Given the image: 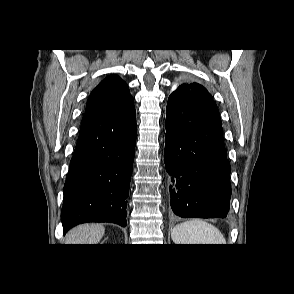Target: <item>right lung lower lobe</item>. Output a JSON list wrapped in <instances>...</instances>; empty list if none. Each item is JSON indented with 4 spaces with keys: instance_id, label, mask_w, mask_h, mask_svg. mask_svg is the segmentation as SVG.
<instances>
[{
    "instance_id": "obj_1",
    "label": "right lung lower lobe",
    "mask_w": 294,
    "mask_h": 294,
    "mask_svg": "<svg viewBox=\"0 0 294 294\" xmlns=\"http://www.w3.org/2000/svg\"><path fill=\"white\" fill-rule=\"evenodd\" d=\"M135 116L133 98L109 111L84 114L64 185V233L85 222L127 225Z\"/></svg>"
}]
</instances>
